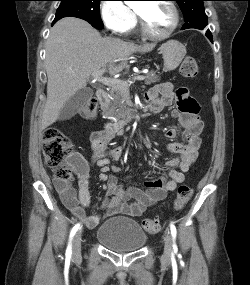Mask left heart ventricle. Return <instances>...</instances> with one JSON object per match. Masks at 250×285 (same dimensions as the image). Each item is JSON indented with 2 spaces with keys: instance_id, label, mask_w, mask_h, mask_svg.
<instances>
[{
  "instance_id": "obj_1",
  "label": "left heart ventricle",
  "mask_w": 250,
  "mask_h": 285,
  "mask_svg": "<svg viewBox=\"0 0 250 285\" xmlns=\"http://www.w3.org/2000/svg\"><path fill=\"white\" fill-rule=\"evenodd\" d=\"M136 10L143 17L147 29L153 34L162 35L173 24L172 10L165 3L140 2Z\"/></svg>"
}]
</instances>
